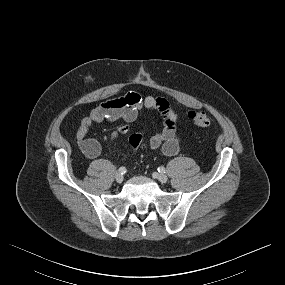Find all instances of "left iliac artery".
Masks as SVG:
<instances>
[{
  "mask_svg": "<svg viewBox=\"0 0 285 285\" xmlns=\"http://www.w3.org/2000/svg\"><path fill=\"white\" fill-rule=\"evenodd\" d=\"M158 171L160 172V173H165V168L163 167V166H160V167H158Z\"/></svg>",
  "mask_w": 285,
  "mask_h": 285,
  "instance_id": "left-iliac-artery-1",
  "label": "left iliac artery"
}]
</instances>
